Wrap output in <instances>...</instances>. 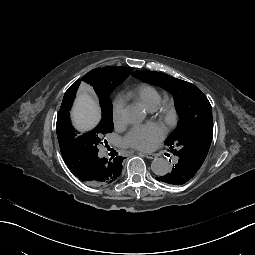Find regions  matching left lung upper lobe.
<instances>
[{
  "label": "left lung upper lobe",
  "instance_id": "left-lung-upper-lobe-1",
  "mask_svg": "<svg viewBox=\"0 0 255 255\" xmlns=\"http://www.w3.org/2000/svg\"><path fill=\"white\" fill-rule=\"evenodd\" d=\"M132 76L162 87L174 96L180 120L165 145L194 176L203 164L213 138L212 108L208 99L195 85L164 73L138 70Z\"/></svg>",
  "mask_w": 255,
  "mask_h": 255
}]
</instances>
